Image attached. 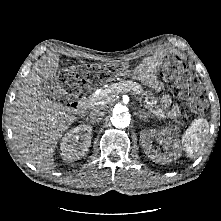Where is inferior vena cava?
<instances>
[{
    "label": "inferior vena cava",
    "instance_id": "inferior-vena-cava-1",
    "mask_svg": "<svg viewBox=\"0 0 221 221\" xmlns=\"http://www.w3.org/2000/svg\"><path fill=\"white\" fill-rule=\"evenodd\" d=\"M105 115L104 107L101 105L94 106L89 115V121L91 123L100 122L102 117Z\"/></svg>",
    "mask_w": 221,
    "mask_h": 221
}]
</instances>
